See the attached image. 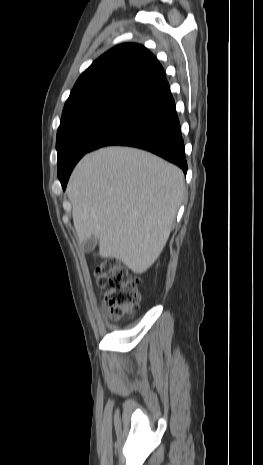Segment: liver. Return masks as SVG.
I'll list each match as a JSON object with an SVG mask.
<instances>
[{
	"instance_id": "6515ba94",
	"label": "liver",
	"mask_w": 263,
	"mask_h": 465,
	"mask_svg": "<svg viewBox=\"0 0 263 465\" xmlns=\"http://www.w3.org/2000/svg\"><path fill=\"white\" fill-rule=\"evenodd\" d=\"M185 192L177 166L129 147L85 155L70 177L67 194L80 243L99 240V255L142 274L161 254Z\"/></svg>"
}]
</instances>
